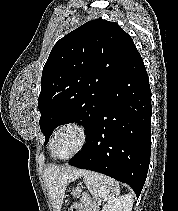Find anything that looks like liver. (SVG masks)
Wrapping results in <instances>:
<instances>
[{"label": "liver", "instance_id": "1", "mask_svg": "<svg viewBox=\"0 0 178 211\" xmlns=\"http://www.w3.org/2000/svg\"><path fill=\"white\" fill-rule=\"evenodd\" d=\"M85 171L70 167L50 166L44 171L47 190L55 211H60L66 187L82 177Z\"/></svg>", "mask_w": 178, "mask_h": 211}]
</instances>
